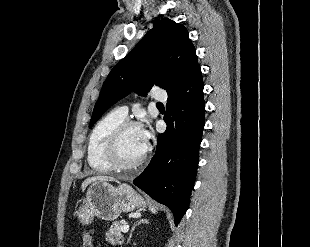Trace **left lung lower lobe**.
I'll list each match as a JSON object with an SVG mask.
<instances>
[{"mask_svg": "<svg viewBox=\"0 0 310 247\" xmlns=\"http://www.w3.org/2000/svg\"><path fill=\"white\" fill-rule=\"evenodd\" d=\"M200 67L168 93L167 129L160 134L156 153L133 183L169 207L177 226L187 210L194 185L199 147L205 125Z\"/></svg>", "mask_w": 310, "mask_h": 247, "instance_id": "left-lung-lower-lobe-1", "label": "left lung lower lobe"}]
</instances>
